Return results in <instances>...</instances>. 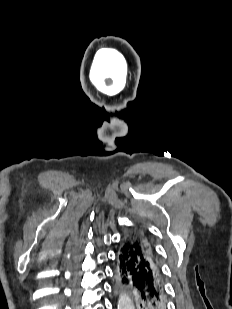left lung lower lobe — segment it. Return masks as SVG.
<instances>
[{"label":"left lung lower lobe","mask_w":232,"mask_h":309,"mask_svg":"<svg viewBox=\"0 0 232 309\" xmlns=\"http://www.w3.org/2000/svg\"><path fill=\"white\" fill-rule=\"evenodd\" d=\"M129 232L116 255L115 276L136 300L137 309H166L167 298L160 265Z\"/></svg>","instance_id":"1"}]
</instances>
